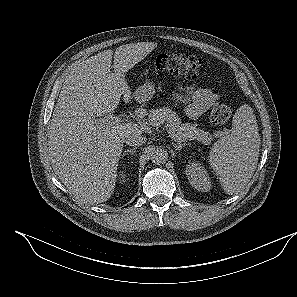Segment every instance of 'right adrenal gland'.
I'll list each match as a JSON object with an SVG mask.
<instances>
[{
  "instance_id": "right-adrenal-gland-1",
  "label": "right adrenal gland",
  "mask_w": 297,
  "mask_h": 297,
  "mask_svg": "<svg viewBox=\"0 0 297 297\" xmlns=\"http://www.w3.org/2000/svg\"><path fill=\"white\" fill-rule=\"evenodd\" d=\"M136 147L135 148H133V149H127V150H124V152H123V154H122V158L125 156V155H127L128 153H130L131 155H134L135 154V152H136Z\"/></svg>"
}]
</instances>
